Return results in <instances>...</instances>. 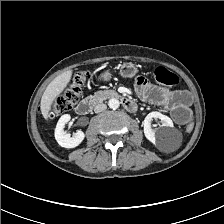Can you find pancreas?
Returning <instances> with one entry per match:
<instances>
[{
    "label": "pancreas",
    "instance_id": "pancreas-1",
    "mask_svg": "<svg viewBox=\"0 0 224 224\" xmlns=\"http://www.w3.org/2000/svg\"><path fill=\"white\" fill-rule=\"evenodd\" d=\"M106 93L115 94L114 91H104V92H98L95 96H96V97L103 96V95H105Z\"/></svg>",
    "mask_w": 224,
    "mask_h": 224
}]
</instances>
